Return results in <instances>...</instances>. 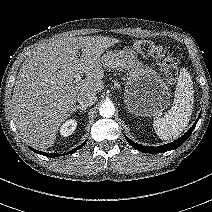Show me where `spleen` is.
Instances as JSON below:
<instances>
[{
	"label": "spleen",
	"mask_w": 212,
	"mask_h": 212,
	"mask_svg": "<svg viewBox=\"0 0 212 212\" xmlns=\"http://www.w3.org/2000/svg\"><path fill=\"white\" fill-rule=\"evenodd\" d=\"M194 90L191 76L182 68L178 78L174 102L164 117L153 122L154 130L160 139L175 140L187 127L192 115Z\"/></svg>",
	"instance_id": "1"
}]
</instances>
